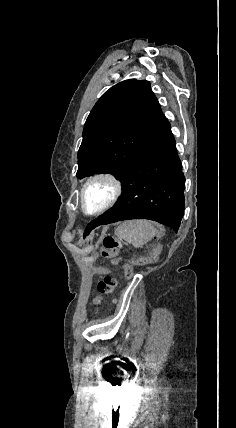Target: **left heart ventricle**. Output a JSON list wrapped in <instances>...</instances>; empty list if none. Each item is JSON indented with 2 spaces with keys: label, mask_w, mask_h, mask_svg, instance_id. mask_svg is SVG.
<instances>
[{
  "label": "left heart ventricle",
  "mask_w": 236,
  "mask_h": 428,
  "mask_svg": "<svg viewBox=\"0 0 236 428\" xmlns=\"http://www.w3.org/2000/svg\"><path fill=\"white\" fill-rule=\"evenodd\" d=\"M111 194V188L104 182L91 185L86 191V204L90 210L103 205Z\"/></svg>",
  "instance_id": "obj_1"
}]
</instances>
